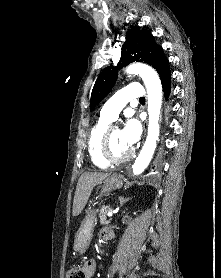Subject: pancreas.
Masks as SVG:
<instances>
[{
    "label": "pancreas",
    "mask_w": 221,
    "mask_h": 278,
    "mask_svg": "<svg viewBox=\"0 0 221 278\" xmlns=\"http://www.w3.org/2000/svg\"><path fill=\"white\" fill-rule=\"evenodd\" d=\"M109 207H102L99 211V219H100V223L102 225H106L110 222V220H108L107 218V213H108Z\"/></svg>",
    "instance_id": "obj_1"
}]
</instances>
